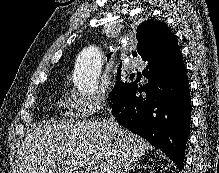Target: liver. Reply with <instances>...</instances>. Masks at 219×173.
<instances>
[{
  "instance_id": "obj_1",
  "label": "liver",
  "mask_w": 219,
  "mask_h": 173,
  "mask_svg": "<svg viewBox=\"0 0 219 173\" xmlns=\"http://www.w3.org/2000/svg\"><path fill=\"white\" fill-rule=\"evenodd\" d=\"M152 146L113 121L32 126L18 153L19 173H125Z\"/></svg>"
}]
</instances>
